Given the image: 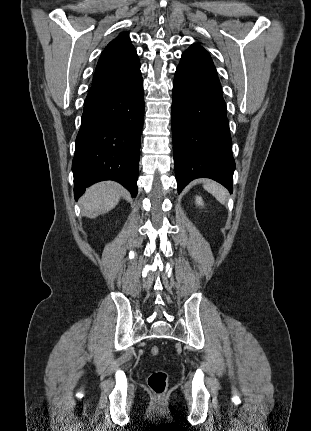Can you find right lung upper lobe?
<instances>
[{
	"label": "right lung upper lobe",
	"mask_w": 311,
	"mask_h": 431,
	"mask_svg": "<svg viewBox=\"0 0 311 431\" xmlns=\"http://www.w3.org/2000/svg\"><path fill=\"white\" fill-rule=\"evenodd\" d=\"M139 59L127 33H121L102 52L92 84L126 75L138 66Z\"/></svg>",
	"instance_id": "cb5924a9"
}]
</instances>
